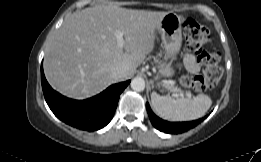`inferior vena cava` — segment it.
Wrapping results in <instances>:
<instances>
[{"instance_id": "1", "label": "inferior vena cava", "mask_w": 261, "mask_h": 162, "mask_svg": "<svg viewBox=\"0 0 261 162\" xmlns=\"http://www.w3.org/2000/svg\"><path fill=\"white\" fill-rule=\"evenodd\" d=\"M127 68L125 66H117L113 69V75L117 78L125 76Z\"/></svg>"}]
</instances>
